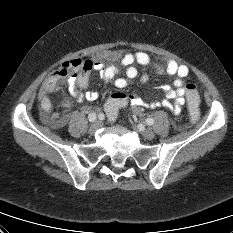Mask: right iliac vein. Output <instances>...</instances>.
<instances>
[{
	"label": "right iliac vein",
	"instance_id": "right-iliac-vein-1",
	"mask_svg": "<svg viewBox=\"0 0 233 233\" xmlns=\"http://www.w3.org/2000/svg\"><path fill=\"white\" fill-rule=\"evenodd\" d=\"M101 126L100 122H95L94 124L91 125V127L89 128V133L90 134H94Z\"/></svg>",
	"mask_w": 233,
	"mask_h": 233
}]
</instances>
